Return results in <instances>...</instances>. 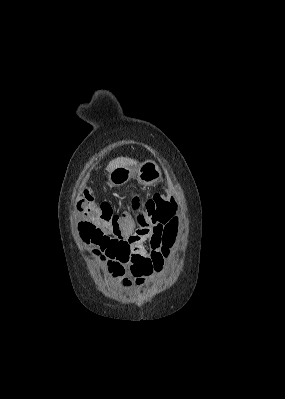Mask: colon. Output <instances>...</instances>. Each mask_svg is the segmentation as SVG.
<instances>
[{
	"label": "colon",
	"mask_w": 285,
	"mask_h": 399,
	"mask_svg": "<svg viewBox=\"0 0 285 399\" xmlns=\"http://www.w3.org/2000/svg\"><path fill=\"white\" fill-rule=\"evenodd\" d=\"M77 207L87 218L78 225L83 241L96 246L95 253L109 261L114 276L122 273L120 265L123 263L130 265L137 280L162 271L163 256L160 252H155L149 259L135 254L128 241L118 236V228L124 220L132 221L134 227L139 228L152 214L154 226L164 229V240L168 242L173 237L170 226L177 208L174 200L160 194L142 200L137 194H131L126 202L128 213L122 217L113 211L110 203H97L92 193L84 189L77 197Z\"/></svg>",
	"instance_id": "5ec220e1"
}]
</instances>
